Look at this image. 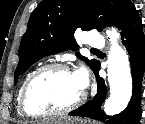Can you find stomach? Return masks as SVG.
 <instances>
[{
  "label": "stomach",
  "instance_id": "1",
  "mask_svg": "<svg viewBox=\"0 0 145 124\" xmlns=\"http://www.w3.org/2000/svg\"><path fill=\"white\" fill-rule=\"evenodd\" d=\"M46 124H96V123H91L89 121H85L82 119H71V118L61 117V118L53 119L47 122Z\"/></svg>",
  "mask_w": 145,
  "mask_h": 124
}]
</instances>
